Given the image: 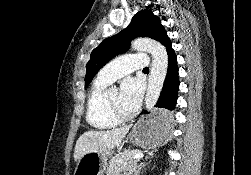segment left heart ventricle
<instances>
[{
  "instance_id": "obj_1",
  "label": "left heart ventricle",
  "mask_w": 251,
  "mask_h": 175,
  "mask_svg": "<svg viewBox=\"0 0 251 175\" xmlns=\"http://www.w3.org/2000/svg\"><path fill=\"white\" fill-rule=\"evenodd\" d=\"M107 96L113 110L117 112H124L120 104V92L118 90L109 93Z\"/></svg>"
}]
</instances>
